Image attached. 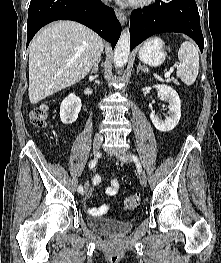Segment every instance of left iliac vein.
<instances>
[{"label": "left iliac vein", "mask_w": 221, "mask_h": 263, "mask_svg": "<svg viewBox=\"0 0 221 263\" xmlns=\"http://www.w3.org/2000/svg\"><path fill=\"white\" fill-rule=\"evenodd\" d=\"M116 156L120 161L131 162V158L126 151H120L116 154ZM140 180L143 186H147V176L144 171L141 172Z\"/></svg>", "instance_id": "1"}]
</instances>
